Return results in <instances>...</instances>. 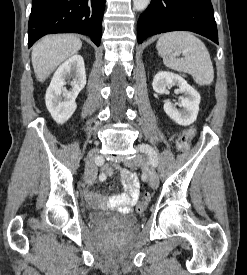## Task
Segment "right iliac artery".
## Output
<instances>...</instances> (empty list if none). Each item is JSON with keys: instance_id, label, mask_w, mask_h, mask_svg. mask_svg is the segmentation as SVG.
Masks as SVG:
<instances>
[{"instance_id": "82829eb1", "label": "right iliac artery", "mask_w": 247, "mask_h": 275, "mask_svg": "<svg viewBox=\"0 0 247 275\" xmlns=\"http://www.w3.org/2000/svg\"><path fill=\"white\" fill-rule=\"evenodd\" d=\"M95 163L96 164H103L104 163V157H101L99 154L95 157ZM99 179L101 181H104L106 179L104 174L99 175Z\"/></svg>"}]
</instances>
